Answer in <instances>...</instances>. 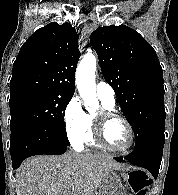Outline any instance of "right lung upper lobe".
Returning a JSON list of instances; mask_svg holds the SVG:
<instances>
[{
  "label": "right lung upper lobe",
  "mask_w": 178,
  "mask_h": 195,
  "mask_svg": "<svg viewBox=\"0 0 178 195\" xmlns=\"http://www.w3.org/2000/svg\"><path fill=\"white\" fill-rule=\"evenodd\" d=\"M80 55L78 34L71 24L52 22L38 29L14 61L10 96L28 91L73 95Z\"/></svg>",
  "instance_id": "cb5924a9"
}]
</instances>
